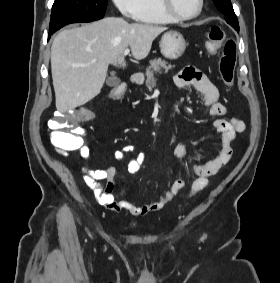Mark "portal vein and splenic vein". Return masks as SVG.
<instances>
[{
  "mask_svg": "<svg viewBox=\"0 0 280 283\" xmlns=\"http://www.w3.org/2000/svg\"><path fill=\"white\" fill-rule=\"evenodd\" d=\"M129 52H130V50L127 48V49H125V51H124L123 55H124V56H126V55H128V54H129Z\"/></svg>",
  "mask_w": 280,
  "mask_h": 283,
  "instance_id": "obj_1",
  "label": "portal vein and splenic vein"
}]
</instances>
